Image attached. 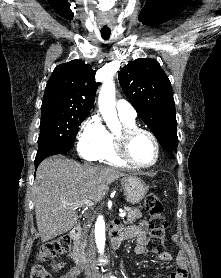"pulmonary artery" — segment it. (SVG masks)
Masks as SVG:
<instances>
[{"label": "pulmonary artery", "instance_id": "1", "mask_svg": "<svg viewBox=\"0 0 221 278\" xmlns=\"http://www.w3.org/2000/svg\"><path fill=\"white\" fill-rule=\"evenodd\" d=\"M118 116L121 119L134 121L136 118V111L134 107L126 100H119L116 104Z\"/></svg>", "mask_w": 221, "mask_h": 278}]
</instances>
